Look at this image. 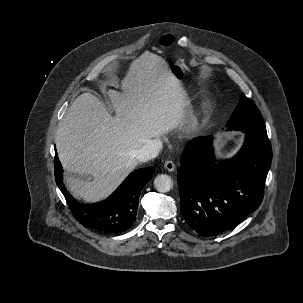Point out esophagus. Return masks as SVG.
I'll list each match as a JSON object with an SVG mask.
<instances>
[{
    "instance_id": "34e87169",
    "label": "esophagus",
    "mask_w": 303,
    "mask_h": 303,
    "mask_svg": "<svg viewBox=\"0 0 303 303\" xmlns=\"http://www.w3.org/2000/svg\"><path fill=\"white\" fill-rule=\"evenodd\" d=\"M164 167L169 171L172 172L176 169V165L173 161L168 160L165 162Z\"/></svg>"
}]
</instances>
